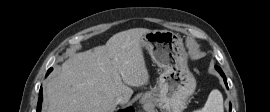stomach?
Returning <instances> with one entry per match:
<instances>
[{
    "instance_id": "stomach-1",
    "label": "stomach",
    "mask_w": 270,
    "mask_h": 112,
    "mask_svg": "<svg viewBox=\"0 0 270 112\" xmlns=\"http://www.w3.org/2000/svg\"><path fill=\"white\" fill-rule=\"evenodd\" d=\"M142 47L163 69L158 86L144 94L143 100L148 97L162 112H182L195 91L196 80L187 66L188 55L181 37L168 30H150L142 37Z\"/></svg>"
}]
</instances>
